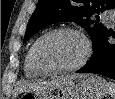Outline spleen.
<instances>
[{"label": "spleen", "mask_w": 115, "mask_h": 99, "mask_svg": "<svg viewBox=\"0 0 115 99\" xmlns=\"http://www.w3.org/2000/svg\"><path fill=\"white\" fill-rule=\"evenodd\" d=\"M109 94L113 99H115V83L109 82L108 83Z\"/></svg>", "instance_id": "3e777b00"}]
</instances>
